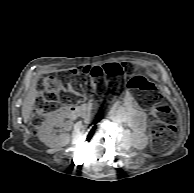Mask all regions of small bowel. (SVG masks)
Masks as SVG:
<instances>
[{
	"instance_id": "small-bowel-1",
	"label": "small bowel",
	"mask_w": 194,
	"mask_h": 193,
	"mask_svg": "<svg viewBox=\"0 0 194 193\" xmlns=\"http://www.w3.org/2000/svg\"><path fill=\"white\" fill-rule=\"evenodd\" d=\"M125 110L128 115L130 126L137 132H144L146 129L147 117L136 105L129 94L124 96Z\"/></svg>"
}]
</instances>
